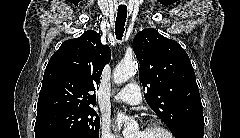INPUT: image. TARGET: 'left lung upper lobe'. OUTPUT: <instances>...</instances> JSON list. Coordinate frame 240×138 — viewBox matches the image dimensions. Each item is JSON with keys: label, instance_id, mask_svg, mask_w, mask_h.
Segmentation results:
<instances>
[{"label": "left lung upper lobe", "instance_id": "5c2ea615", "mask_svg": "<svg viewBox=\"0 0 240 138\" xmlns=\"http://www.w3.org/2000/svg\"><path fill=\"white\" fill-rule=\"evenodd\" d=\"M133 50L140 63L146 102L171 132L204 121L195 73L179 43L149 28L136 35Z\"/></svg>", "mask_w": 240, "mask_h": 138}]
</instances>
